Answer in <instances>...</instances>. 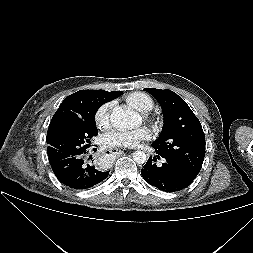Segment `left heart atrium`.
<instances>
[{
    "label": "left heart atrium",
    "instance_id": "obj_1",
    "mask_svg": "<svg viewBox=\"0 0 253 253\" xmlns=\"http://www.w3.org/2000/svg\"><path fill=\"white\" fill-rule=\"evenodd\" d=\"M151 136V131L146 127H139L133 130L116 129L104 134L102 143L110 148H131L149 140Z\"/></svg>",
    "mask_w": 253,
    "mask_h": 253
}]
</instances>
